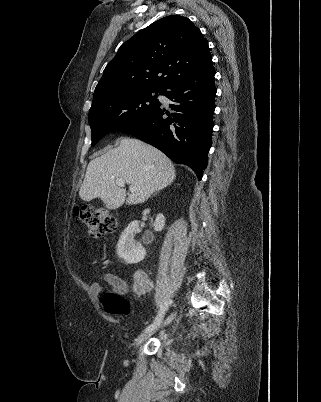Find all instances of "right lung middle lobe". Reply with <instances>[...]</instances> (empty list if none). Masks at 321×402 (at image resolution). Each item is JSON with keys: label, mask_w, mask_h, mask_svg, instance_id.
<instances>
[{"label": "right lung middle lobe", "mask_w": 321, "mask_h": 402, "mask_svg": "<svg viewBox=\"0 0 321 402\" xmlns=\"http://www.w3.org/2000/svg\"><path fill=\"white\" fill-rule=\"evenodd\" d=\"M163 89H149L108 98L92 105L89 110V124L92 130V144L107 133L136 122L154 112L161 105L156 99Z\"/></svg>", "instance_id": "1"}]
</instances>
